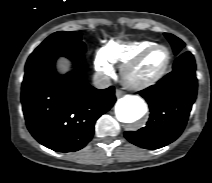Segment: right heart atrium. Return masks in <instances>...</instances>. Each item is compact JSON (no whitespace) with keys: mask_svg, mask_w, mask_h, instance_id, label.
Returning a JSON list of instances; mask_svg holds the SVG:
<instances>
[{"mask_svg":"<svg viewBox=\"0 0 212 183\" xmlns=\"http://www.w3.org/2000/svg\"><path fill=\"white\" fill-rule=\"evenodd\" d=\"M95 68L100 75L110 76L112 74V67L103 50H99L95 55Z\"/></svg>","mask_w":212,"mask_h":183,"instance_id":"1","label":"right heart atrium"}]
</instances>
